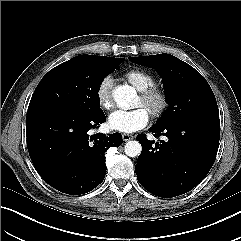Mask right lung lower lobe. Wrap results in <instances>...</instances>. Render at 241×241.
<instances>
[{
    "instance_id": "right-lung-lower-lobe-1",
    "label": "right lung lower lobe",
    "mask_w": 241,
    "mask_h": 241,
    "mask_svg": "<svg viewBox=\"0 0 241 241\" xmlns=\"http://www.w3.org/2000/svg\"><path fill=\"white\" fill-rule=\"evenodd\" d=\"M103 111L90 116L63 110L27 114V147L33 165L53 188L70 195L93 190L106 174L105 153L122 144L120 133L89 130L104 123Z\"/></svg>"
}]
</instances>
